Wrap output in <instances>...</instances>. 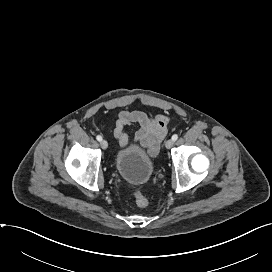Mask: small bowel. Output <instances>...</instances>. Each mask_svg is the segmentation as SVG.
Here are the masks:
<instances>
[{
    "label": "small bowel",
    "instance_id": "small-bowel-1",
    "mask_svg": "<svg viewBox=\"0 0 272 272\" xmlns=\"http://www.w3.org/2000/svg\"><path fill=\"white\" fill-rule=\"evenodd\" d=\"M170 121L168 115H157L150 117L142 111H121L114 128V137L120 147H126L129 142L126 128L137 126L135 142L155 156L160 144L167 133V124Z\"/></svg>",
    "mask_w": 272,
    "mask_h": 272
}]
</instances>
